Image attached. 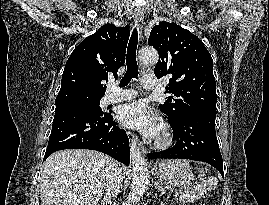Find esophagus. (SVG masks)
Masks as SVG:
<instances>
[{
    "instance_id": "obj_1",
    "label": "esophagus",
    "mask_w": 269,
    "mask_h": 205,
    "mask_svg": "<svg viewBox=\"0 0 269 205\" xmlns=\"http://www.w3.org/2000/svg\"><path fill=\"white\" fill-rule=\"evenodd\" d=\"M134 21L138 26L139 31V39L142 40L143 37V25H144V15L140 8H136L134 11ZM141 152L142 154H146L147 150L144 146H141Z\"/></svg>"
}]
</instances>
